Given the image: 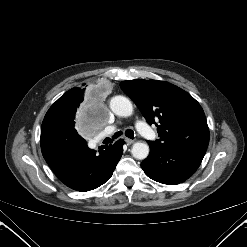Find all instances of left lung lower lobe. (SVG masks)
Returning <instances> with one entry per match:
<instances>
[{
  "label": "left lung lower lobe",
  "instance_id": "left-lung-lower-lobe-1",
  "mask_svg": "<svg viewBox=\"0 0 247 247\" xmlns=\"http://www.w3.org/2000/svg\"><path fill=\"white\" fill-rule=\"evenodd\" d=\"M150 154L141 163L145 174L163 184L176 185L187 180L199 167L207 145L183 143L163 147L149 141Z\"/></svg>",
  "mask_w": 247,
  "mask_h": 247
}]
</instances>
